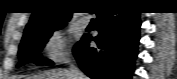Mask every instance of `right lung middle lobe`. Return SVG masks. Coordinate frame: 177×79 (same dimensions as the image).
<instances>
[{
  "instance_id": "obj_1",
  "label": "right lung middle lobe",
  "mask_w": 177,
  "mask_h": 79,
  "mask_svg": "<svg viewBox=\"0 0 177 79\" xmlns=\"http://www.w3.org/2000/svg\"><path fill=\"white\" fill-rule=\"evenodd\" d=\"M63 26L40 30L26 38H23L19 47V63L20 67L26 63L32 62L38 65H53V62L41 56L40 51L45 46L53 31L61 29Z\"/></svg>"
}]
</instances>
